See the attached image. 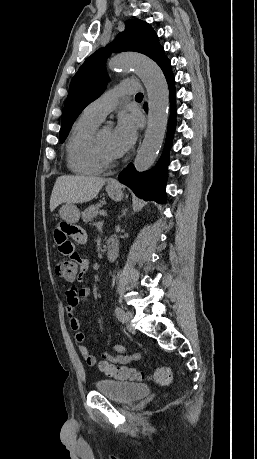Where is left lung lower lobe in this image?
Segmentation results:
<instances>
[{"label": "left lung lower lobe", "instance_id": "0a47b994", "mask_svg": "<svg viewBox=\"0 0 257 459\" xmlns=\"http://www.w3.org/2000/svg\"><path fill=\"white\" fill-rule=\"evenodd\" d=\"M168 82L171 99V115L168 123V132L164 151L154 168L146 172H137L133 164H129L118 176V180L132 189L140 198L146 201L166 203L165 183L167 179V168L169 165V150L172 145L173 133L175 130V87L174 76L171 71L170 60L165 56L158 64ZM147 110L146 104L144 105Z\"/></svg>", "mask_w": 257, "mask_h": 459}]
</instances>
